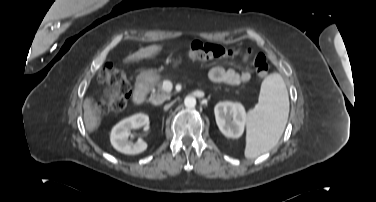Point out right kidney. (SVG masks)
<instances>
[{"label": "right kidney", "instance_id": "1", "mask_svg": "<svg viewBox=\"0 0 376 202\" xmlns=\"http://www.w3.org/2000/svg\"><path fill=\"white\" fill-rule=\"evenodd\" d=\"M149 122V116L143 113L134 114L117 123L111 131L110 141L119 152L129 155L139 154L147 149V143L138 140L132 143L128 140L131 129L145 126Z\"/></svg>", "mask_w": 376, "mask_h": 202}]
</instances>
